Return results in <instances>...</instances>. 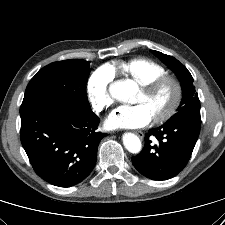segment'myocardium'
I'll use <instances>...</instances> for the list:
<instances>
[{
	"instance_id": "myocardium-1",
	"label": "myocardium",
	"mask_w": 225,
	"mask_h": 225,
	"mask_svg": "<svg viewBox=\"0 0 225 225\" xmlns=\"http://www.w3.org/2000/svg\"><path fill=\"white\" fill-rule=\"evenodd\" d=\"M141 90L147 96H153L158 93L163 87L171 89V98L167 105L154 115L156 123H162L168 120L176 112L182 98V86L180 82L173 76L163 75L151 81L140 84Z\"/></svg>"
}]
</instances>
